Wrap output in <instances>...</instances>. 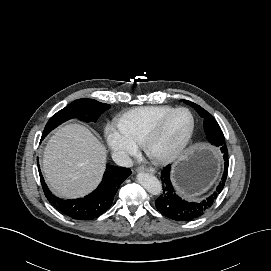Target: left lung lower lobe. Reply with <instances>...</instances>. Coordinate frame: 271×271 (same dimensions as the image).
I'll return each mask as SVG.
<instances>
[{
  "label": "left lung lower lobe",
  "instance_id": "obj_1",
  "mask_svg": "<svg viewBox=\"0 0 271 271\" xmlns=\"http://www.w3.org/2000/svg\"><path fill=\"white\" fill-rule=\"evenodd\" d=\"M220 150L225 161L222 180L211 196L198 203L187 202L175 194V190L170 182L171 165L164 167L161 173V180L164 184L163 195L155 201V206L161 214L176 221H191L201 217L210 209L218 194L222 191L227 178L228 151L226 145L221 146Z\"/></svg>",
  "mask_w": 271,
  "mask_h": 271
}]
</instances>
